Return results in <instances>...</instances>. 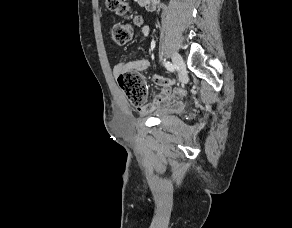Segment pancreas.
Returning a JSON list of instances; mask_svg holds the SVG:
<instances>
[{
    "label": "pancreas",
    "instance_id": "obj_1",
    "mask_svg": "<svg viewBox=\"0 0 292 228\" xmlns=\"http://www.w3.org/2000/svg\"><path fill=\"white\" fill-rule=\"evenodd\" d=\"M135 1H137V2H142L143 0H135Z\"/></svg>",
    "mask_w": 292,
    "mask_h": 228
}]
</instances>
